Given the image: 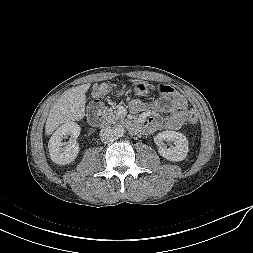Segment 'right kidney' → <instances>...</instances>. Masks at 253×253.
Listing matches in <instances>:
<instances>
[{"mask_svg": "<svg viewBox=\"0 0 253 253\" xmlns=\"http://www.w3.org/2000/svg\"><path fill=\"white\" fill-rule=\"evenodd\" d=\"M79 134L80 127L74 122L65 123L54 132L48 143L50 158L54 163L66 165L76 159L80 149L76 142ZM64 135H71L72 138L63 147L62 139Z\"/></svg>", "mask_w": 253, "mask_h": 253, "instance_id": "ca27d5eb", "label": "right kidney"}]
</instances>
